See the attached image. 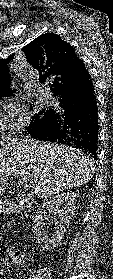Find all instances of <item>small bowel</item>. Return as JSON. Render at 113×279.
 <instances>
[{
	"label": "small bowel",
	"instance_id": "obj_1",
	"mask_svg": "<svg viewBox=\"0 0 113 279\" xmlns=\"http://www.w3.org/2000/svg\"><path fill=\"white\" fill-rule=\"evenodd\" d=\"M13 261H12V263L14 264V265H18L19 263H20V261L18 260V258L15 256L13 259H12ZM2 273V272H1ZM0 279H1V276H0Z\"/></svg>",
	"mask_w": 113,
	"mask_h": 279
}]
</instances>
